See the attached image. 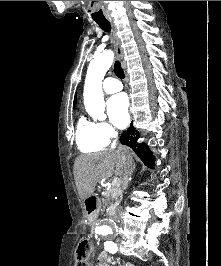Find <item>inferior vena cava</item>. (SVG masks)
Returning <instances> with one entry per match:
<instances>
[{"label": "inferior vena cava", "mask_w": 221, "mask_h": 266, "mask_svg": "<svg viewBox=\"0 0 221 266\" xmlns=\"http://www.w3.org/2000/svg\"><path fill=\"white\" fill-rule=\"evenodd\" d=\"M119 147H121V146H119ZM121 160L124 164V173L122 176V185H123V187H125L128 183L129 177L132 174V170H133L134 165H133L132 158L124 152H121ZM114 214H116V212H114Z\"/></svg>", "instance_id": "602c4592"}]
</instances>
